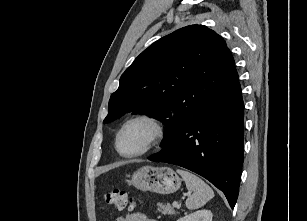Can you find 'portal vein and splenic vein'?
<instances>
[{"mask_svg":"<svg viewBox=\"0 0 307 221\" xmlns=\"http://www.w3.org/2000/svg\"><path fill=\"white\" fill-rule=\"evenodd\" d=\"M172 205H173V207H175V208H178V207H179V204H178L177 202H173Z\"/></svg>","mask_w":307,"mask_h":221,"instance_id":"portal-vein-and-splenic-vein-1","label":"portal vein and splenic vein"}]
</instances>
